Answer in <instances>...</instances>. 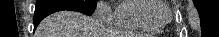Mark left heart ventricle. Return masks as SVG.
<instances>
[{
  "label": "left heart ventricle",
  "instance_id": "left-heart-ventricle-1",
  "mask_svg": "<svg viewBox=\"0 0 219 37\" xmlns=\"http://www.w3.org/2000/svg\"><path fill=\"white\" fill-rule=\"evenodd\" d=\"M166 14H167L166 11H161L160 16H161V17H164Z\"/></svg>",
  "mask_w": 219,
  "mask_h": 37
}]
</instances>
